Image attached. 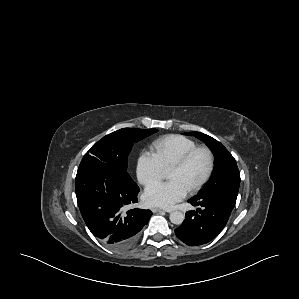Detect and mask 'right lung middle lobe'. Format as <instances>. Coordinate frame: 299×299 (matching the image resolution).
Here are the masks:
<instances>
[{"instance_id":"1","label":"right lung middle lobe","mask_w":299,"mask_h":299,"mask_svg":"<svg viewBox=\"0 0 299 299\" xmlns=\"http://www.w3.org/2000/svg\"><path fill=\"white\" fill-rule=\"evenodd\" d=\"M157 132V129L123 128L104 136L84 155L78 170L100 166L112 170L125 182L134 183L127 173V157L133 143Z\"/></svg>"}]
</instances>
